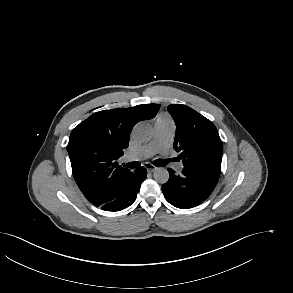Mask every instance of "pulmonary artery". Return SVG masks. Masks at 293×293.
I'll use <instances>...</instances> for the list:
<instances>
[{
	"instance_id": "obj_1",
	"label": "pulmonary artery",
	"mask_w": 293,
	"mask_h": 293,
	"mask_svg": "<svg viewBox=\"0 0 293 293\" xmlns=\"http://www.w3.org/2000/svg\"><path fill=\"white\" fill-rule=\"evenodd\" d=\"M175 135V125L173 122L156 121L155 136L153 140L134 150L124 157L125 162L141 161L150 158L154 154L167 149ZM183 168L182 163H177L175 169L180 171Z\"/></svg>"
}]
</instances>
